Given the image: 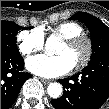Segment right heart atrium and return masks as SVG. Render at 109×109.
I'll return each mask as SVG.
<instances>
[{"mask_svg":"<svg viewBox=\"0 0 109 109\" xmlns=\"http://www.w3.org/2000/svg\"><path fill=\"white\" fill-rule=\"evenodd\" d=\"M44 40V34L40 29L21 31L17 35L18 49L23 55H30L43 48Z\"/></svg>","mask_w":109,"mask_h":109,"instance_id":"obj_1","label":"right heart atrium"}]
</instances>
